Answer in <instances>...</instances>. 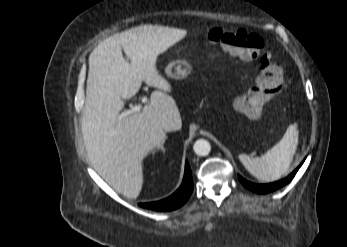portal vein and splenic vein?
<instances>
[{"label":"portal vein and splenic vein","instance_id":"portal-vein-and-splenic-vein-1","mask_svg":"<svg viewBox=\"0 0 347 247\" xmlns=\"http://www.w3.org/2000/svg\"><path fill=\"white\" fill-rule=\"evenodd\" d=\"M147 101V98L144 96L141 98V102L142 103H146ZM142 108V105L141 104H138V105H134L132 106L129 110L121 113L119 116H118V120H122L124 117L128 116L129 114H132V113H137L141 110Z\"/></svg>","mask_w":347,"mask_h":247}]
</instances>
